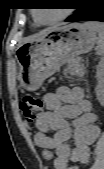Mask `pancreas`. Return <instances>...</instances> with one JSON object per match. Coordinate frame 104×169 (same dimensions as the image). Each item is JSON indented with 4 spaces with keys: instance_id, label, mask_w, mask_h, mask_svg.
<instances>
[{
    "instance_id": "1",
    "label": "pancreas",
    "mask_w": 104,
    "mask_h": 169,
    "mask_svg": "<svg viewBox=\"0 0 104 169\" xmlns=\"http://www.w3.org/2000/svg\"><path fill=\"white\" fill-rule=\"evenodd\" d=\"M69 69L72 71L73 74L77 76H83L84 70L83 65L80 64L78 60H74L69 64Z\"/></svg>"
}]
</instances>
